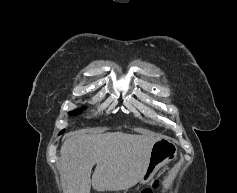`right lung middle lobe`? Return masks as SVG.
Masks as SVG:
<instances>
[{
  "mask_svg": "<svg viewBox=\"0 0 237 193\" xmlns=\"http://www.w3.org/2000/svg\"><path fill=\"white\" fill-rule=\"evenodd\" d=\"M80 113H82V109H76L74 111L69 112L68 114L69 115H77V114H80Z\"/></svg>",
  "mask_w": 237,
  "mask_h": 193,
  "instance_id": "dd1d6c3e",
  "label": "right lung middle lobe"
}]
</instances>
